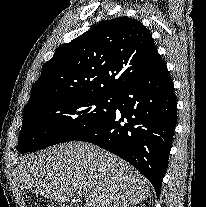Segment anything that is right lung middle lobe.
<instances>
[{"instance_id": "1", "label": "right lung middle lobe", "mask_w": 206, "mask_h": 207, "mask_svg": "<svg viewBox=\"0 0 206 207\" xmlns=\"http://www.w3.org/2000/svg\"><path fill=\"white\" fill-rule=\"evenodd\" d=\"M115 95L44 102L24 111L17 150L34 152L76 140L115 111Z\"/></svg>"}]
</instances>
